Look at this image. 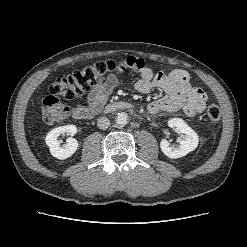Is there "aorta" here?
Wrapping results in <instances>:
<instances>
[{"instance_id":"obj_1","label":"aorta","mask_w":247,"mask_h":247,"mask_svg":"<svg viewBox=\"0 0 247 247\" xmlns=\"http://www.w3.org/2000/svg\"><path fill=\"white\" fill-rule=\"evenodd\" d=\"M115 122L120 126H125L128 123V115L125 112H120L116 116Z\"/></svg>"}]
</instances>
